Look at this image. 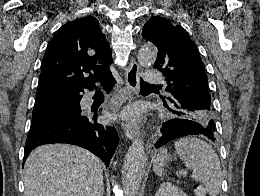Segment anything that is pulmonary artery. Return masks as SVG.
Masks as SVG:
<instances>
[{"label":"pulmonary artery","mask_w":260,"mask_h":196,"mask_svg":"<svg viewBox=\"0 0 260 196\" xmlns=\"http://www.w3.org/2000/svg\"><path fill=\"white\" fill-rule=\"evenodd\" d=\"M164 81L162 72H157V69H148V76H146L145 84H161Z\"/></svg>","instance_id":"e3ab8cb5"}]
</instances>
